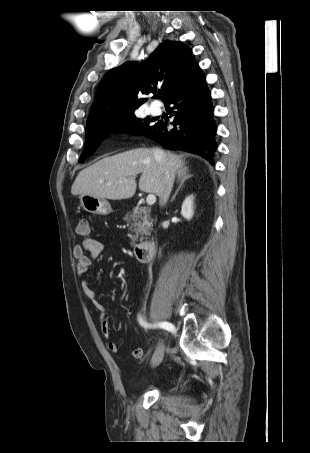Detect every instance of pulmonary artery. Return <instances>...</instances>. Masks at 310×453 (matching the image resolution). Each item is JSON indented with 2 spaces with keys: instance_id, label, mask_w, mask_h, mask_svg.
Returning a JSON list of instances; mask_svg holds the SVG:
<instances>
[{
  "instance_id": "1",
  "label": "pulmonary artery",
  "mask_w": 310,
  "mask_h": 453,
  "mask_svg": "<svg viewBox=\"0 0 310 453\" xmlns=\"http://www.w3.org/2000/svg\"><path fill=\"white\" fill-rule=\"evenodd\" d=\"M150 112H151L152 114H158V113H159L158 110L153 109V108H150Z\"/></svg>"
}]
</instances>
